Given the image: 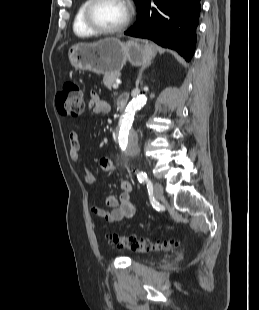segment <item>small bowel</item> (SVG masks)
<instances>
[{
  "instance_id": "1",
  "label": "small bowel",
  "mask_w": 259,
  "mask_h": 310,
  "mask_svg": "<svg viewBox=\"0 0 259 310\" xmlns=\"http://www.w3.org/2000/svg\"><path fill=\"white\" fill-rule=\"evenodd\" d=\"M90 108L96 113H109L110 105L100 99L97 93H91L89 100ZM70 139V158L79 162L81 160V142L80 134L76 130H72L69 135ZM99 167L103 172L113 173L115 171V164L110 158L103 157L99 160ZM83 180L88 185H94L96 183L95 175L89 170L85 169L83 173ZM122 193L117 197L114 194L107 196L106 205L111 208L107 210L98 206L91 208L92 212L99 218L110 222H119L124 219H130L135 215L136 207L131 200L130 193L132 191L131 183L126 179L119 180Z\"/></svg>"
}]
</instances>
